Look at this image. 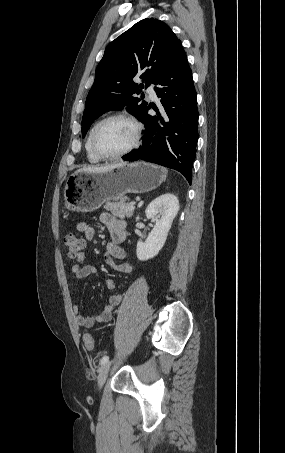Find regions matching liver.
Segmentation results:
<instances>
[{"instance_id":"liver-1","label":"liver","mask_w":285,"mask_h":453,"mask_svg":"<svg viewBox=\"0 0 285 453\" xmlns=\"http://www.w3.org/2000/svg\"><path fill=\"white\" fill-rule=\"evenodd\" d=\"M122 164H125V163L122 162V163H119V164H111V165L101 166V167H95V166L83 167V168L77 170L76 172H91V173L101 172V171H104V170H108V169L114 168L116 166H120Z\"/></svg>"}]
</instances>
